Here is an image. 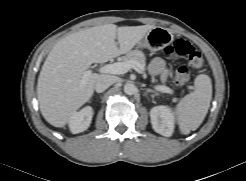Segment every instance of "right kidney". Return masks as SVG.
I'll return each mask as SVG.
<instances>
[{
    "label": "right kidney",
    "instance_id": "obj_1",
    "mask_svg": "<svg viewBox=\"0 0 246 181\" xmlns=\"http://www.w3.org/2000/svg\"><path fill=\"white\" fill-rule=\"evenodd\" d=\"M92 117L93 109L90 106L73 113L68 120L70 131L73 134L85 131L90 126Z\"/></svg>",
    "mask_w": 246,
    "mask_h": 181
}]
</instances>
